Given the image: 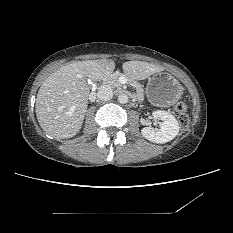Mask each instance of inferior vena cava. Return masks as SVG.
<instances>
[{"instance_id":"602c4592","label":"inferior vena cava","mask_w":233,"mask_h":233,"mask_svg":"<svg viewBox=\"0 0 233 233\" xmlns=\"http://www.w3.org/2000/svg\"><path fill=\"white\" fill-rule=\"evenodd\" d=\"M97 97L103 101L110 100L113 97V91L111 87L107 85L100 86L97 91Z\"/></svg>"}]
</instances>
